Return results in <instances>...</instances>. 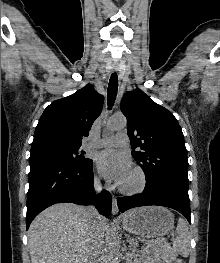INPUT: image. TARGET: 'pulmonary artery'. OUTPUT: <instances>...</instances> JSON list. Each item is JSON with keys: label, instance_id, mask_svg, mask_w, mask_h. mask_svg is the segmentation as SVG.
I'll return each instance as SVG.
<instances>
[{"label": "pulmonary artery", "instance_id": "1", "mask_svg": "<svg viewBox=\"0 0 220 263\" xmlns=\"http://www.w3.org/2000/svg\"><path fill=\"white\" fill-rule=\"evenodd\" d=\"M128 141V135L124 132H121L113 136L104 137L93 145L97 147L122 146L126 145Z\"/></svg>", "mask_w": 220, "mask_h": 263}]
</instances>
